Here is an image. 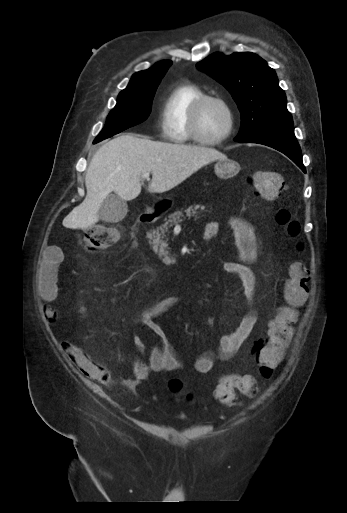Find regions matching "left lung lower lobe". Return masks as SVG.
Segmentation results:
<instances>
[{
    "instance_id": "left-lung-lower-lobe-1",
    "label": "left lung lower lobe",
    "mask_w": 347,
    "mask_h": 513,
    "mask_svg": "<svg viewBox=\"0 0 347 513\" xmlns=\"http://www.w3.org/2000/svg\"><path fill=\"white\" fill-rule=\"evenodd\" d=\"M241 142L258 143L272 147L284 153L296 163L303 172H306L302 162L301 149L294 135L293 125L268 128Z\"/></svg>"
}]
</instances>
